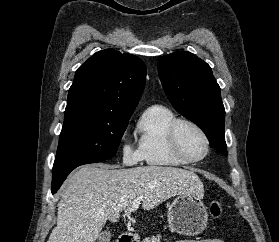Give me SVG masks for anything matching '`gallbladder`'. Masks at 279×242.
I'll list each match as a JSON object with an SVG mask.
<instances>
[{
	"mask_svg": "<svg viewBox=\"0 0 279 242\" xmlns=\"http://www.w3.org/2000/svg\"><path fill=\"white\" fill-rule=\"evenodd\" d=\"M111 237H112L111 232L109 230H105L99 234L98 241L99 242H109Z\"/></svg>",
	"mask_w": 279,
	"mask_h": 242,
	"instance_id": "1",
	"label": "gallbladder"
}]
</instances>
